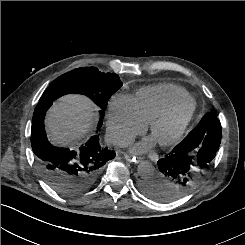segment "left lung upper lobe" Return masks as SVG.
Masks as SVG:
<instances>
[{
  "label": "left lung upper lobe",
  "mask_w": 245,
  "mask_h": 245,
  "mask_svg": "<svg viewBox=\"0 0 245 245\" xmlns=\"http://www.w3.org/2000/svg\"><path fill=\"white\" fill-rule=\"evenodd\" d=\"M211 115H215V113L214 112H209Z\"/></svg>",
  "instance_id": "1"
}]
</instances>
